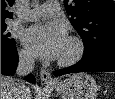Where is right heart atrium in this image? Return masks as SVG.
<instances>
[{
	"label": "right heart atrium",
	"instance_id": "right-heart-atrium-1",
	"mask_svg": "<svg viewBox=\"0 0 115 99\" xmlns=\"http://www.w3.org/2000/svg\"><path fill=\"white\" fill-rule=\"evenodd\" d=\"M19 55L20 59L24 62H29L31 60V56L26 50H21Z\"/></svg>",
	"mask_w": 115,
	"mask_h": 99
}]
</instances>
